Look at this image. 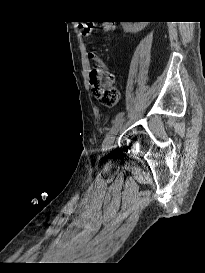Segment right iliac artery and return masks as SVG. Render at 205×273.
Segmentation results:
<instances>
[{
    "instance_id": "obj_1",
    "label": "right iliac artery",
    "mask_w": 205,
    "mask_h": 273,
    "mask_svg": "<svg viewBox=\"0 0 205 273\" xmlns=\"http://www.w3.org/2000/svg\"><path fill=\"white\" fill-rule=\"evenodd\" d=\"M124 115V112H119L115 118L112 120V125L115 124L122 116Z\"/></svg>"
}]
</instances>
